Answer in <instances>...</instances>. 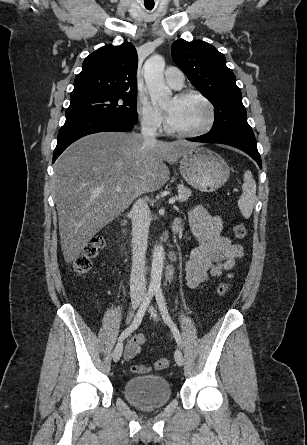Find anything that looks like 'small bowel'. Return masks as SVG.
I'll return each mask as SVG.
<instances>
[{"label":"small bowel","mask_w":307,"mask_h":445,"mask_svg":"<svg viewBox=\"0 0 307 445\" xmlns=\"http://www.w3.org/2000/svg\"><path fill=\"white\" fill-rule=\"evenodd\" d=\"M187 221L190 234L197 240V245L191 251L186 264V282L190 288H195L210 277L218 278L224 272L232 270L236 260L243 257L244 251L241 245L222 234L223 218L220 215H211L203 206L191 208ZM181 224V219L176 220L173 230L178 232ZM144 343L145 336L142 334L131 337L126 345L125 358L131 360L137 356Z\"/></svg>","instance_id":"obj_1"}]
</instances>
